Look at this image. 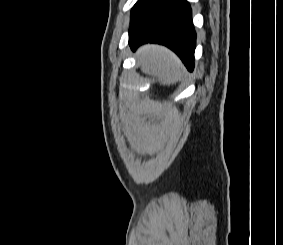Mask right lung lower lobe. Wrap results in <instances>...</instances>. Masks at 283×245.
I'll use <instances>...</instances> for the list:
<instances>
[{
  "label": "right lung lower lobe",
  "instance_id": "1",
  "mask_svg": "<svg viewBox=\"0 0 283 245\" xmlns=\"http://www.w3.org/2000/svg\"><path fill=\"white\" fill-rule=\"evenodd\" d=\"M130 23L129 44L133 50L146 42L163 44L181 58L188 70H193L196 33L186 0H154Z\"/></svg>",
  "mask_w": 283,
  "mask_h": 245
}]
</instances>
